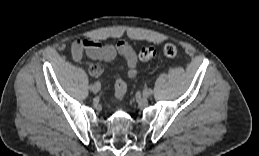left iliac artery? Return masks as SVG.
Returning <instances> with one entry per match:
<instances>
[{"instance_id":"44dca946","label":"left iliac artery","mask_w":259,"mask_h":156,"mask_svg":"<svg viewBox=\"0 0 259 156\" xmlns=\"http://www.w3.org/2000/svg\"><path fill=\"white\" fill-rule=\"evenodd\" d=\"M154 92L153 88H147V93H149V95H152Z\"/></svg>"}]
</instances>
